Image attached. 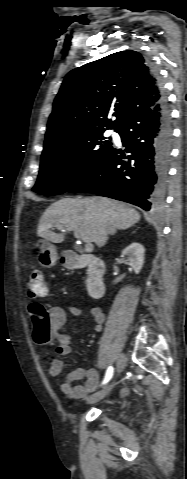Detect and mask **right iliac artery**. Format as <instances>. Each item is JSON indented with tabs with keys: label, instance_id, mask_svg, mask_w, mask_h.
<instances>
[{
	"label": "right iliac artery",
	"instance_id": "82829eb1",
	"mask_svg": "<svg viewBox=\"0 0 187 479\" xmlns=\"http://www.w3.org/2000/svg\"><path fill=\"white\" fill-rule=\"evenodd\" d=\"M113 372H114V369L112 366H109L107 371H106V375H105V378H104V381H103V384L107 383L113 376Z\"/></svg>",
	"mask_w": 187,
	"mask_h": 479
}]
</instances>
